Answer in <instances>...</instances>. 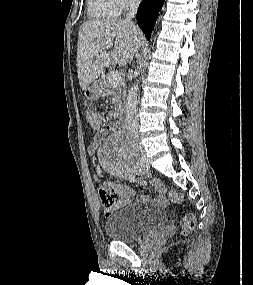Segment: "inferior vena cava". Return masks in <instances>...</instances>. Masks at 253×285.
Listing matches in <instances>:
<instances>
[{"label":"inferior vena cava","instance_id":"602c4592","mask_svg":"<svg viewBox=\"0 0 253 285\" xmlns=\"http://www.w3.org/2000/svg\"><path fill=\"white\" fill-rule=\"evenodd\" d=\"M139 4H140V0H131L130 1V8H129V11H128L126 18H125L126 22L132 23V19L135 17V15L137 13V9H138ZM131 60H132V58H131Z\"/></svg>","mask_w":253,"mask_h":285}]
</instances>
